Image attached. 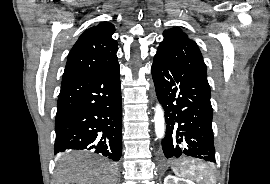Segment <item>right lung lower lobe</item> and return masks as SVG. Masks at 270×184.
Segmentation results:
<instances>
[{
    "label": "right lung lower lobe",
    "mask_w": 270,
    "mask_h": 184,
    "mask_svg": "<svg viewBox=\"0 0 270 184\" xmlns=\"http://www.w3.org/2000/svg\"><path fill=\"white\" fill-rule=\"evenodd\" d=\"M55 154L87 149L118 161L122 154L119 65L62 82L55 119Z\"/></svg>",
    "instance_id": "1"
}]
</instances>
